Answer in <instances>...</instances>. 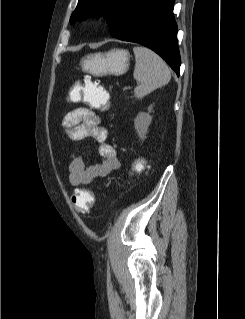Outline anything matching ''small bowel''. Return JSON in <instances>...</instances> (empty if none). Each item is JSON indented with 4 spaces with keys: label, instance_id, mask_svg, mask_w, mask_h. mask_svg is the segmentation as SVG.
<instances>
[{
    "label": "small bowel",
    "instance_id": "c3829d8e",
    "mask_svg": "<svg viewBox=\"0 0 245 319\" xmlns=\"http://www.w3.org/2000/svg\"><path fill=\"white\" fill-rule=\"evenodd\" d=\"M78 86L74 87L69 96L72 102L79 101ZM63 126L69 139L81 141L92 138L98 144L101 162L87 164L85 155L71 153L69 155V181L72 186H88L94 180L108 176L120 168V161L115 149L106 143L107 129L101 124L98 113L90 108L79 107L68 112Z\"/></svg>",
    "mask_w": 245,
    "mask_h": 319
}]
</instances>
